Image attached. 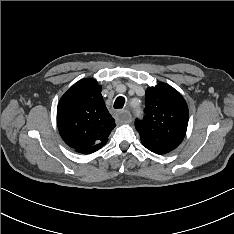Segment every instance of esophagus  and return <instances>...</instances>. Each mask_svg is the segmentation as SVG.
<instances>
[{
    "mask_svg": "<svg viewBox=\"0 0 234 234\" xmlns=\"http://www.w3.org/2000/svg\"><path fill=\"white\" fill-rule=\"evenodd\" d=\"M119 117L122 121L130 123L132 121L131 113L128 110H122L119 112Z\"/></svg>",
    "mask_w": 234,
    "mask_h": 234,
    "instance_id": "1",
    "label": "esophagus"
}]
</instances>
